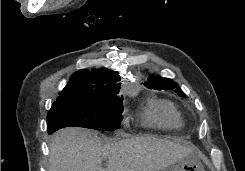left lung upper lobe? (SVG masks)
<instances>
[{
    "label": "left lung upper lobe",
    "instance_id": "1",
    "mask_svg": "<svg viewBox=\"0 0 245 171\" xmlns=\"http://www.w3.org/2000/svg\"><path fill=\"white\" fill-rule=\"evenodd\" d=\"M144 85L150 89L156 90H173L176 89V92L180 96H184L185 94L179 88L178 84L174 82L172 79L162 78L159 76L150 75Z\"/></svg>",
    "mask_w": 245,
    "mask_h": 171
}]
</instances>
